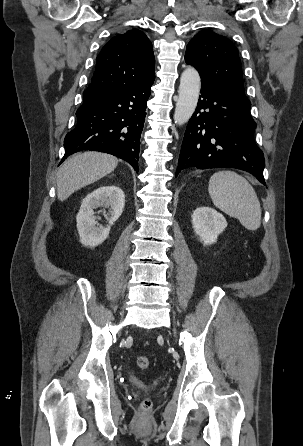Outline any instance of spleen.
Masks as SVG:
<instances>
[{"instance_id": "obj_1", "label": "spleen", "mask_w": 303, "mask_h": 446, "mask_svg": "<svg viewBox=\"0 0 303 446\" xmlns=\"http://www.w3.org/2000/svg\"><path fill=\"white\" fill-rule=\"evenodd\" d=\"M208 191L216 207L237 218L248 230H257L261 224V207L250 183L234 171L214 173Z\"/></svg>"}]
</instances>
